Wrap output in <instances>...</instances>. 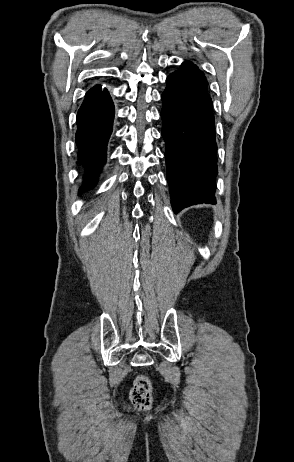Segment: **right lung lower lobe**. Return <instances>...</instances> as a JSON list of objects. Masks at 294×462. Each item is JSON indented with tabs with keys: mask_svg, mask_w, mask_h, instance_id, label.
Segmentation results:
<instances>
[{
	"mask_svg": "<svg viewBox=\"0 0 294 462\" xmlns=\"http://www.w3.org/2000/svg\"><path fill=\"white\" fill-rule=\"evenodd\" d=\"M114 113V104L106 88L95 85L86 93L76 119L78 158L86 171L80 190L91 189L97 183L96 174L106 162Z\"/></svg>",
	"mask_w": 294,
	"mask_h": 462,
	"instance_id": "right-lung-lower-lobe-1",
	"label": "right lung lower lobe"
}]
</instances>
